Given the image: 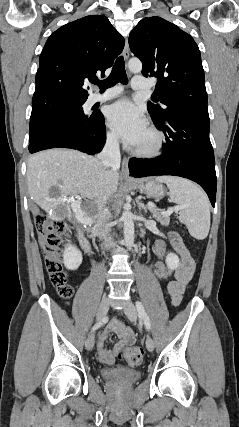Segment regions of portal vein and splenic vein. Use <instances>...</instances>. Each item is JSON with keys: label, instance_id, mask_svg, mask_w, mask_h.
<instances>
[{"label": "portal vein and splenic vein", "instance_id": "obj_1", "mask_svg": "<svg viewBox=\"0 0 239 427\" xmlns=\"http://www.w3.org/2000/svg\"><path fill=\"white\" fill-rule=\"evenodd\" d=\"M68 201L69 202H75V199L72 197V198H69L68 199ZM148 207L149 208H153V209H156V206H155V204H153V203H151V202H149L148 204ZM157 210V209H156ZM180 210V207L179 206H174V207H171V208H169L168 210H166V211H163V212H161V214L162 215H165V216H169L173 211H179ZM85 223H93V220H91V219H86V222Z\"/></svg>", "mask_w": 239, "mask_h": 427}]
</instances>
